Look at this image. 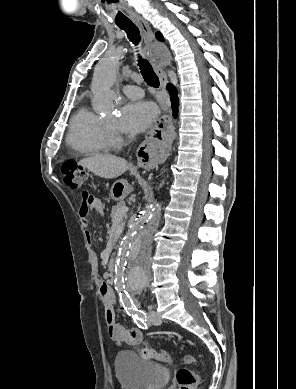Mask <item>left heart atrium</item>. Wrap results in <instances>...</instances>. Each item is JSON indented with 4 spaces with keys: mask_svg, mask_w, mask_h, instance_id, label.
Wrapping results in <instances>:
<instances>
[{
    "mask_svg": "<svg viewBox=\"0 0 296 389\" xmlns=\"http://www.w3.org/2000/svg\"><path fill=\"white\" fill-rule=\"evenodd\" d=\"M155 105L149 102H131L122 109L118 129L129 134H139L148 129L157 117Z\"/></svg>",
    "mask_w": 296,
    "mask_h": 389,
    "instance_id": "1",
    "label": "left heart atrium"
}]
</instances>
